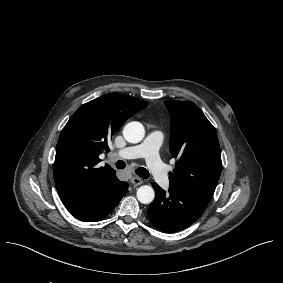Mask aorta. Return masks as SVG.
<instances>
[{
    "mask_svg": "<svg viewBox=\"0 0 283 283\" xmlns=\"http://www.w3.org/2000/svg\"><path fill=\"white\" fill-rule=\"evenodd\" d=\"M145 135V129L140 122L128 123L123 129V136L129 143H139ZM155 198L154 189L151 186L143 185L137 190V199L142 204H150Z\"/></svg>",
    "mask_w": 283,
    "mask_h": 283,
    "instance_id": "aorta-1",
    "label": "aorta"
}]
</instances>
